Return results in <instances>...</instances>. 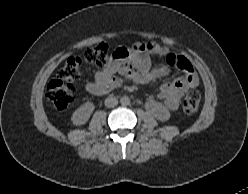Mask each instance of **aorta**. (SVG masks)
<instances>
[{
	"mask_svg": "<svg viewBox=\"0 0 248 194\" xmlns=\"http://www.w3.org/2000/svg\"><path fill=\"white\" fill-rule=\"evenodd\" d=\"M120 103L122 106H128L130 104V98L128 96H123L120 99Z\"/></svg>",
	"mask_w": 248,
	"mask_h": 194,
	"instance_id": "1",
	"label": "aorta"
}]
</instances>
